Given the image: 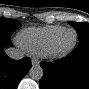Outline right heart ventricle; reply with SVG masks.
Listing matches in <instances>:
<instances>
[{"label":"right heart ventricle","instance_id":"1","mask_svg":"<svg viewBox=\"0 0 89 89\" xmlns=\"http://www.w3.org/2000/svg\"><path fill=\"white\" fill-rule=\"evenodd\" d=\"M63 28L60 25L28 27L19 33L18 43L29 54L43 56L50 39Z\"/></svg>","mask_w":89,"mask_h":89}]
</instances>
